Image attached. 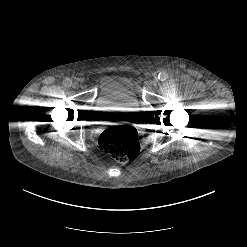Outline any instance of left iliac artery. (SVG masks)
<instances>
[{"label":"left iliac artery","mask_w":247,"mask_h":247,"mask_svg":"<svg viewBox=\"0 0 247 247\" xmlns=\"http://www.w3.org/2000/svg\"><path fill=\"white\" fill-rule=\"evenodd\" d=\"M168 74L166 73V72H160L159 74H158V79L160 80V81H165V80H167L168 79Z\"/></svg>","instance_id":"44dca946"}]
</instances>
